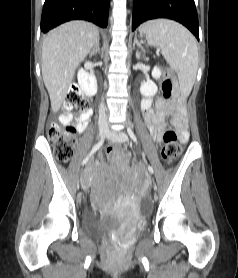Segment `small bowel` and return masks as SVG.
I'll return each instance as SVG.
<instances>
[{
	"label": "small bowel",
	"instance_id": "1",
	"mask_svg": "<svg viewBox=\"0 0 238 278\" xmlns=\"http://www.w3.org/2000/svg\"><path fill=\"white\" fill-rule=\"evenodd\" d=\"M141 109L148 124L149 132L156 142L162 140L166 130L165 119L170 115L173 116L172 123L177 129L179 138L183 142L187 141L189 134L185 118L183 96H178L174 99L159 98L155 103V108L152 107L151 98H145L141 103ZM90 116L91 112L88 111L77 118L76 128L80 133L87 129ZM71 120V114L63 113L59 116V121L63 125L69 124ZM126 165L123 164L120 166L125 167Z\"/></svg>",
	"mask_w": 238,
	"mask_h": 278
}]
</instances>
